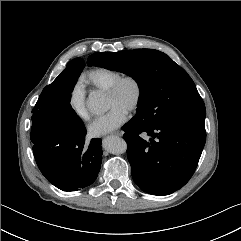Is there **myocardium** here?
I'll list each match as a JSON object with an SVG mask.
<instances>
[{"label":"myocardium","mask_w":241,"mask_h":241,"mask_svg":"<svg viewBox=\"0 0 241 241\" xmlns=\"http://www.w3.org/2000/svg\"><path fill=\"white\" fill-rule=\"evenodd\" d=\"M130 81L134 84L135 86V98L130 106L128 112H135L141 105L142 99H143V94H144V89H143V84L139 77L133 74H124L118 77L106 90V95H116L123 85V83Z\"/></svg>","instance_id":"f54148a6"}]
</instances>
